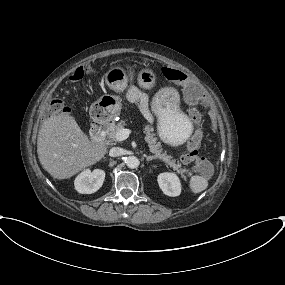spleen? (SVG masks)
I'll return each mask as SVG.
<instances>
[{"mask_svg":"<svg viewBox=\"0 0 285 285\" xmlns=\"http://www.w3.org/2000/svg\"><path fill=\"white\" fill-rule=\"evenodd\" d=\"M191 191L194 194L204 191L208 187V181L203 176H192L189 182Z\"/></svg>","mask_w":285,"mask_h":285,"instance_id":"1","label":"spleen"}]
</instances>
